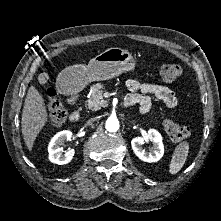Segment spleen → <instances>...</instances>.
Listing matches in <instances>:
<instances>
[{
	"instance_id": "spleen-1",
	"label": "spleen",
	"mask_w": 221,
	"mask_h": 221,
	"mask_svg": "<svg viewBox=\"0 0 221 221\" xmlns=\"http://www.w3.org/2000/svg\"><path fill=\"white\" fill-rule=\"evenodd\" d=\"M188 152L189 144L187 141H183L176 146L169 165V172L171 174H176L181 170L186 162Z\"/></svg>"
}]
</instances>
